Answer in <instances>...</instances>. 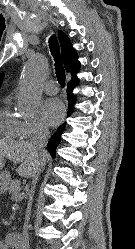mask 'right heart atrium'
I'll list each match as a JSON object with an SVG mask.
<instances>
[{"label": "right heart atrium", "instance_id": "d8ad5b80", "mask_svg": "<svg viewBox=\"0 0 135 249\" xmlns=\"http://www.w3.org/2000/svg\"><path fill=\"white\" fill-rule=\"evenodd\" d=\"M24 138L44 135L48 132L47 126L41 120L22 121Z\"/></svg>", "mask_w": 135, "mask_h": 249}]
</instances>
